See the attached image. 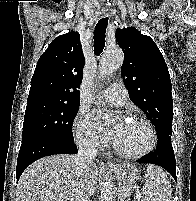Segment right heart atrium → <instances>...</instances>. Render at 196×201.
Returning a JSON list of instances; mask_svg holds the SVG:
<instances>
[{"label":"right heart atrium","mask_w":196,"mask_h":201,"mask_svg":"<svg viewBox=\"0 0 196 201\" xmlns=\"http://www.w3.org/2000/svg\"><path fill=\"white\" fill-rule=\"evenodd\" d=\"M74 136L76 142L83 147L103 149L106 140L98 133L84 112H80L74 121Z\"/></svg>","instance_id":"1"}]
</instances>
